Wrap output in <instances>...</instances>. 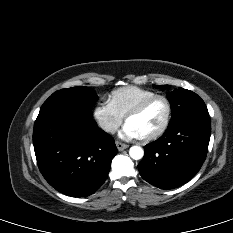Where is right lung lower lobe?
I'll use <instances>...</instances> for the list:
<instances>
[{
	"mask_svg": "<svg viewBox=\"0 0 233 233\" xmlns=\"http://www.w3.org/2000/svg\"><path fill=\"white\" fill-rule=\"evenodd\" d=\"M37 164L57 191L86 197L106 180L117 154L114 139L93 118L67 111L38 116L33 131Z\"/></svg>",
	"mask_w": 233,
	"mask_h": 233,
	"instance_id": "right-lung-lower-lobe-1",
	"label": "right lung lower lobe"
}]
</instances>
